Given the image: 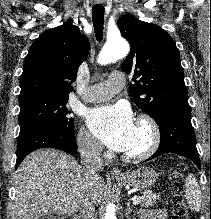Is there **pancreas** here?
<instances>
[{"instance_id":"1","label":"pancreas","mask_w":211,"mask_h":219,"mask_svg":"<svg viewBox=\"0 0 211 219\" xmlns=\"http://www.w3.org/2000/svg\"><path fill=\"white\" fill-rule=\"evenodd\" d=\"M160 197L158 194H155L153 192H143V196L140 199V202L143 206L149 207L156 204V200H159Z\"/></svg>"}]
</instances>
